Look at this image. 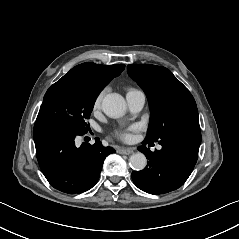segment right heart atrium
<instances>
[{
	"instance_id": "right-heart-atrium-1",
	"label": "right heart atrium",
	"mask_w": 239,
	"mask_h": 239,
	"mask_svg": "<svg viewBox=\"0 0 239 239\" xmlns=\"http://www.w3.org/2000/svg\"><path fill=\"white\" fill-rule=\"evenodd\" d=\"M105 92H106V90L103 89L97 94V96L95 97L94 103H93L94 108H97L101 105V102H102Z\"/></svg>"
}]
</instances>
